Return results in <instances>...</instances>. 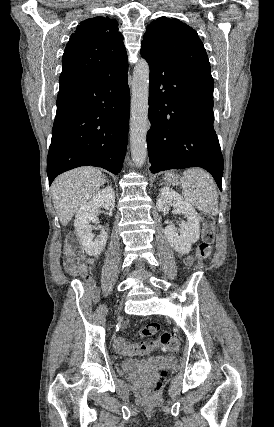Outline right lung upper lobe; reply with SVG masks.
<instances>
[{
	"label": "right lung upper lobe",
	"instance_id": "cb5924a9",
	"mask_svg": "<svg viewBox=\"0 0 274 427\" xmlns=\"http://www.w3.org/2000/svg\"><path fill=\"white\" fill-rule=\"evenodd\" d=\"M127 63L117 21L102 16L86 19L66 45L58 95L94 83Z\"/></svg>",
	"mask_w": 274,
	"mask_h": 427
}]
</instances>
